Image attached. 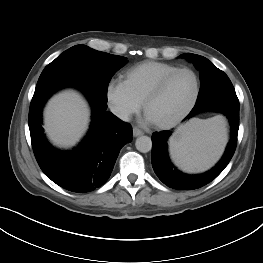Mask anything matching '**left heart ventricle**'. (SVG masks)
I'll list each match as a JSON object with an SVG mask.
<instances>
[{"instance_id": "left-heart-ventricle-1", "label": "left heart ventricle", "mask_w": 263, "mask_h": 263, "mask_svg": "<svg viewBox=\"0 0 263 263\" xmlns=\"http://www.w3.org/2000/svg\"><path fill=\"white\" fill-rule=\"evenodd\" d=\"M195 91V79L189 72H182L172 78L163 92L147 109V116L152 122L168 121L190 102Z\"/></svg>"}]
</instances>
